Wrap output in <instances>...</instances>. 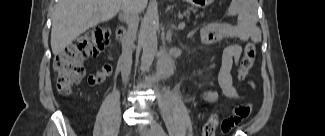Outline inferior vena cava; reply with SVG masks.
Masks as SVG:
<instances>
[{"mask_svg": "<svg viewBox=\"0 0 325 136\" xmlns=\"http://www.w3.org/2000/svg\"><path fill=\"white\" fill-rule=\"evenodd\" d=\"M138 0H124L120 8V19L126 22L128 33L125 43L122 45V79L127 83L132 65V42L131 35L135 31L138 23Z\"/></svg>", "mask_w": 325, "mask_h": 136, "instance_id": "1", "label": "inferior vena cava"}]
</instances>
